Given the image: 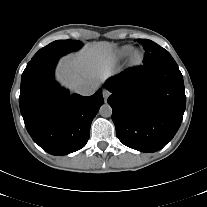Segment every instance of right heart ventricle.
I'll return each mask as SVG.
<instances>
[{
    "label": "right heart ventricle",
    "mask_w": 207,
    "mask_h": 207,
    "mask_svg": "<svg viewBox=\"0 0 207 207\" xmlns=\"http://www.w3.org/2000/svg\"><path fill=\"white\" fill-rule=\"evenodd\" d=\"M133 48L130 45H125L122 46L118 51H117V58L118 59H123L127 57L131 52Z\"/></svg>",
    "instance_id": "right-heart-ventricle-1"
}]
</instances>
